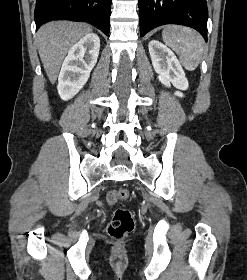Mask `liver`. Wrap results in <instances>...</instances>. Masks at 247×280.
Returning a JSON list of instances; mask_svg holds the SVG:
<instances>
[{"label":"liver","mask_w":247,"mask_h":280,"mask_svg":"<svg viewBox=\"0 0 247 280\" xmlns=\"http://www.w3.org/2000/svg\"><path fill=\"white\" fill-rule=\"evenodd\" d=\"M92 31L85 23L53 21L40 27L36 41L40 59L52 84L70 48Z\"/></svg>","instance_id":"obj_1"}]
</instances>
